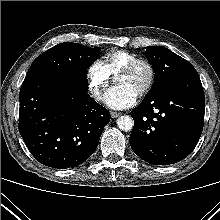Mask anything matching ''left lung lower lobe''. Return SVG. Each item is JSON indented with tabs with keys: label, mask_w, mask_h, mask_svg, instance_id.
<instances>
[{
	"label": "left lung lower lobe",
	"mask_w": 220,
	"mask_h": 220,
	"mask_svg": "<svg viewBox=\"0 0 220 220\" xmlns=\"http://www.w3.org/2000/svg\"><path fill=\"white\" fill-rule=\"evenodd\" d=\"M205 99L197 73L177 78L164 90L145 97L130 114L129 142L144 161L169 165L195 148L204 124Z\"/></svg>",
	"instance_id": "obj_1"
}]
</instances>
